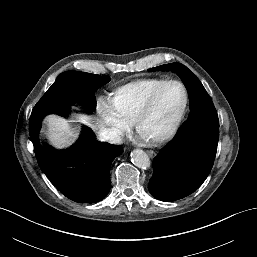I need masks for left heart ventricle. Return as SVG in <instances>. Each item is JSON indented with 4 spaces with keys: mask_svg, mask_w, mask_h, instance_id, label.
<instances>
[{
    "mask_svg": "<svg viewBox=\"0 0 257 257\" xmlns=\"http://www.w3.org/2000/svg\"><path fill=\"white\" fill-rule=\"evenodd\" d=\"M184 95L180 86L172 84L160 93L154 107L141 124V133L152 138L166 131L179 112Z\"/></svg>",
    "mask_w": 257,
    "mask_h": 257,
    "instance_id": "b2bd125f",
    "label": "left heart ventricle"
}]
</instances>
